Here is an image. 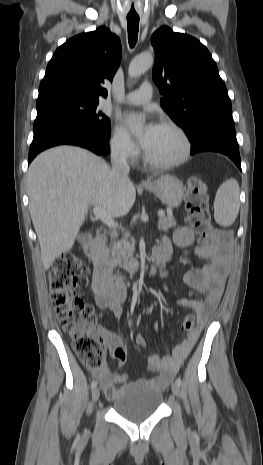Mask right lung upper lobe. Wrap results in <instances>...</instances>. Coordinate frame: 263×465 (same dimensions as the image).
Segmentation results:
<instances>
[{"mask_svg":"<svg viewBox=\"0 0 263 465\" xmlns=\"http://www.w3.org/2000/svg\"><path fill=\"white\" fill-rule=\"evenodd\" d=\"M121 55L119 38L104 26L72 37L53 54L37 101L59 96L106 97L103 84L113 80Z\"/></svg>","mask_w":263,"mask_h":465,"instance_id":"cb5924a9","label":"right lung upper lobe"}]
</instances>
